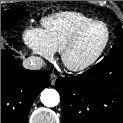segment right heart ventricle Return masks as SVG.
<instances>
[{"label":"right heart ventricle","mask_w":123,"mask_h":123,"mask_svg":"<svg viewBox=\"0 0 123 123\" xmlns=\"http://www.w3.org/2000/svg\"><path fill=\"white\" fill-rule=\"evenodd\" d=\"M94 21L79 12L63 11L42 19V32L54 51H61L74 33L82 26Z\"/></svg>","instance_id":"obj_1"}]
</instances>
